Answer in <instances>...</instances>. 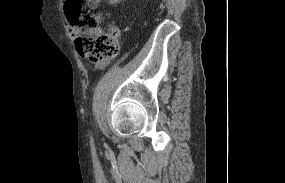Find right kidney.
I'll list each match as a JSON object with an SVG mask.
<instances>
[{"instance_id": "obj_1", "label": "right kidney", "mask_w": 285, "mask_h": 183, "mask_svg": "<svg viewBox=\"0 0 285 183\" xmlns=\"http://www.w3.org/2000/svg\"><path fill=\"white\" fill-rule=\"evenodd\" d=\"M120 1H122V0H109V2L111 4H116V3H119Z\"/></svg>"}]
</instances>
